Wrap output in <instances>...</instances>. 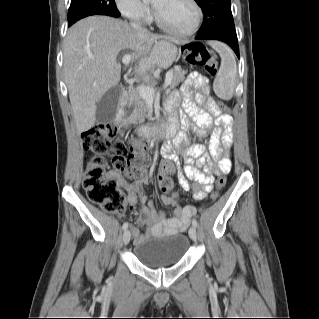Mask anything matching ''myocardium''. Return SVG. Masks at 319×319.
Listing matches in <instances>:
<instances>
[{
    "mask_svg": "<svg viewBox=\"0 0 319 319\" xmlns=\"http://www.w3.org/2000/svg\"><path fill=\"white\" fill-rule=\"evenodd\" d=\"M187 1L192 5V7L195 10V19H194V22L190 28H188L187 30L181 31V30H177V29H174V28L168 26L163 21L161 16L158 14L157 10L155 8H153L154 19H155V22L158 25V27H160L161 29H163L167 33L172 34V35L177 36V37L184 38V37H189L192 34H194L197 31V29L200 26V23L202 21L203 11L196 0H187Z\"/></svg>",
    "mask_w": 319,
    "mask_h": 319,
    "instance_id": "myocardium-1",
    "label": "myocardium"
}]
</instances>
